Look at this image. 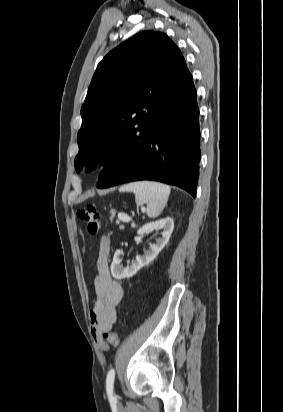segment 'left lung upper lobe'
Masks as SVG:
<instances>
[{
  "mask_svg": "<svg viewBox=\"0 0 283 412\" xmlns=\"http://www.w3.org/2000/svg\"><path fill=\"white\" fill-rule=\"evenodd\" d=\"M178 47L163 33L143 31L98 64L81 108L75 169L89 172L142 136L189 75Z\"/></svg>",
  "mask_w": 283,
  "mask_h": 412,
  "instance_id": "5c2ea615",
  "label": "left lung upper lobe"
}]
</instances>
